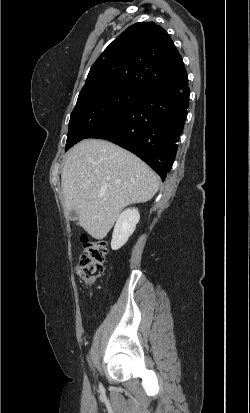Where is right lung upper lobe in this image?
<instances>
[{
	"label": "right lung upper lobe",
	"mask_w": 250,
	"mask_h": 413,
	"mask_svg": "<svg viewBox=\"0 0 250 413\" xmlns=\"http://www.w3.org/2000/svg\"><path fill=\"white\" fill-rule=\"evenodd\" d=\"M188 81L181 55L168 33L154 22L128 27L92 65L82 89L125 85L140 92Z\"/></svg>",
	"instance_id": "obj_1"
}]
</instances>
